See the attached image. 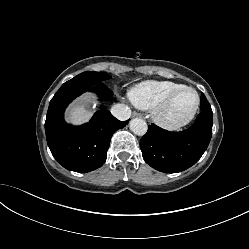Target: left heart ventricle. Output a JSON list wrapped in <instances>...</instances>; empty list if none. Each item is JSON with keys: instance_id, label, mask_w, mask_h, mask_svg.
I'll list each match as a JSON object with an SVG mask.
<instances>
[{"instance_id": "1", "label": "left heart ventricle", "mask_w": 249, "mask_h": 249, "mask_svg": "<svg viewBox=\"0 0 249 249\" xmlns=\"http://www.w3.org/2000/svg\"><path fill=\"white\" fill-rule=\"evenodd\" d=\"M195 96L190 91H182L176 95L166 112L169 119L177 120L186 116L194 106Z\"/></svg>"}]
</instances>
